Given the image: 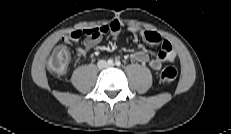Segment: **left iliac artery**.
<instances>
[{
  "mask_svg": "<svg viewBox=\"0 0 231 134\" xmlns=\"http://www.w3.org/2000/svg\"><path fill=\"white\" fill-rule=\"evenodd\" d=\"M115 64H116L117 66H120V65H121V62H120L119 60H117V61L115 62Z\"/></svg>",
  "mask_w": 231,
  "mask_h": 134,
  "instance_id": "44dca946",
  "label": "left iliac artery"
}]
</instances>
